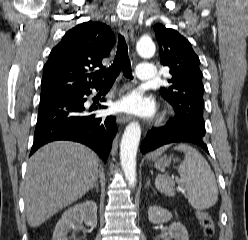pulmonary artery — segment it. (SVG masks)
<instances>
[{
    "label": "pulmonary artery",
    "mask_w": 248,
    "mask_h": 240,
    "mask_svg": "<svg viewBox=\"0 0 248 240\" xmlns=\"http://www.w3.org/2000/svg\"><path fill=\"white\" fill-rule=\"evenodd\" d=\"M136 77L140 81H152L156 78V68L149 63H140L136 69Z\"/></svg>",
    "instance_id": "1"
}]
</instances>
